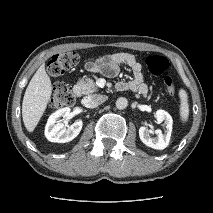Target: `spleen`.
Returning a JSON list of instances; mask_svg holds the SVG:
<instances>
[{"label": "spleen", "mask_w": 213, "mask_h": 213, "mask_svg": "<svg viewBox=\"0 0 213 213\" xmlns=\"http://www.w3.org/2000/svg\"><path fill=\"white\" fill-rule=\"evenodd\" d=\"M179 98H180V118L185 123L189 117V104H188V96L185 90H179Z\"/></svg>", "instance_id": "1"}]
</instances>
